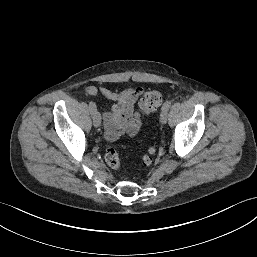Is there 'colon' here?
<instances>
[{
	"instance_id": "colon-1",
	"label": "colon",
	"mask_w": 257,
	"mask_h": 257,
	"mask_svg": "<svg viewBox=\"0 0 257 257\" xmlns=\"http://www.w3.org/2000/svg\"><path fill=\"white\" fill-rule=\"evenodd\" d=\"M162 103V94L159 91L147 92L140 100V109L145 113H151L158 109ZM155 153V148H150L149 153L142 159L144 165H150L152 163V156ZM105 161L108 166L114 170L120 168V159L116 149L108 145L105 150Z\"/></svg>"
}]
</instances>
